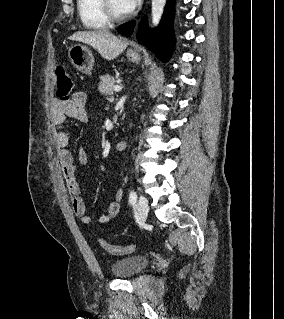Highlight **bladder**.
I'll list each match as a JSON object with an SVG mask.
<instances>
[{
  "instance_id": "obj_1",
  "label": "bladder",
  "mask_w": 284,
  "mask_h": 319,
  "mask_svg": "<svg viewBox=\"0 0 284 319\" xmlns=\"http://www.w3.org/2000/svg\"><path fill=\"white\" fill-rule=\"evenodd\" d=\"M149 265V258L144 255H132L116 260L111 265V272L118 278H130L141 273Z\"/></svg>"
}]
</instances>
